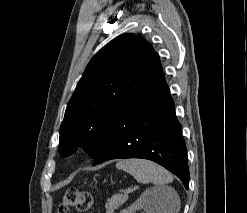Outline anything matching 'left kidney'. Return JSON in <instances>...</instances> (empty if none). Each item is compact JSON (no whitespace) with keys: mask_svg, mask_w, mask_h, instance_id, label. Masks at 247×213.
<instances>
[{"mask_svg":"<svg viewBox=\"0 0 247 213\" xmlns=\"http://www.w3.org/2000/svg\"><path fill=\"white\" fill-rule=\"evenodd\" d=\"M158 203L157 192L146 190L131 206L122 210L120 213H136L137 210H143L145 213H161Z\"/></svg>","mask_w":247,"mask_h":213,"instance_id":"left-kidney-1","label":"left kidney"}]
</instances>
